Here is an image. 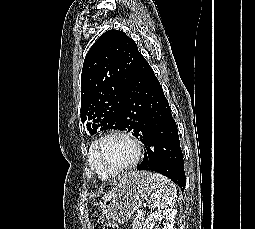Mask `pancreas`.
Masks as SVG:
<instances>
[{
    "instance_id": "pancreas-1",
    "label": "pancreas",
    "mask_w": 255,
    "mask_h": 229,
    "mask_svg": "<svg viewBox=\"0 0 255 229\" xmlns=\"http://www.w3.org/2000/svg\"><path fill=\"white\" fill-rule=\"evenodd\" d=\"M143 220L144 217L142 214H139L137 212V214L134 217V220L132 222V229H142L143 228Z\"/></svg>"
}]
</instances>
